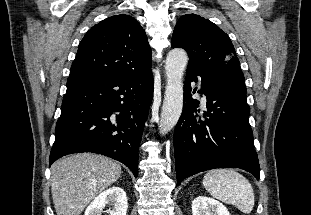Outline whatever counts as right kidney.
Segmentation results:
<instances>
[{"instance_id":"right-kidney-1","label":"right kidney","mask_w":311,"mask_h":215,"mask_svg":"<svg viewBox=\"0 0 311 215\" xmlns=\"http://www.w3.org/2000/svg\"><path fill=\"white\" fill-rule=\"evenodd\" d=\"M108 204L112 205L109 215H126L128 202L125 191L118 186L104 190L91 202L84 215H101Z\"/></svg>"}]
</instances>
